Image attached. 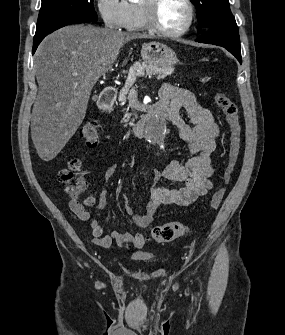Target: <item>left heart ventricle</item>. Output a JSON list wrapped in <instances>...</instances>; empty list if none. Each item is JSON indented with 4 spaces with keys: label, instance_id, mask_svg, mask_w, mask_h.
<instances>
[{
    "label": "left heart ventricle",
    "instance_id": "1",
    "mask_svg": "<svg viewBox=\"0 0 285 335\" xmlns=\"http://www.w3.org/2000/svg\"><path fill=\"white\" fill-rule=\"evenodd\" d=\"M188 19V9L179 1H163L159 8V21L170 31L184 26Z\"/></svg>",
    "mask_w": 285,
    "mask_h": 335
}]
</instances>
